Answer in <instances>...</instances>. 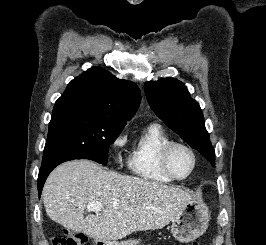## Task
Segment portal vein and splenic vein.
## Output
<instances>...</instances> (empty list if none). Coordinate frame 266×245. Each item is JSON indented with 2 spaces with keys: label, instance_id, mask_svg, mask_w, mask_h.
Returning <instances> with one entry per match:
<instances>
[{
  "label": "portal vein and splenic vein",
  "instance_id": "18ae733b",
  "mask_svg": "<svg viewBox=\"0 0 266 245\" xmlns=\"http://www.w3.org/2000/svg\"><path fill=\"white\" fill-rule=\"evenodd\" d=\"M86 209L87 211H93V213H101L103 207L101 203H88Z\"/></svg>",
  "mask_w": 266,
  "mask_h": 245
}]
</instances>
